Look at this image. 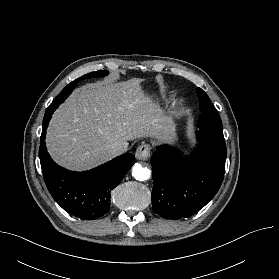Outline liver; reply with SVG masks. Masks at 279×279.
Returning a JSON list of instances; mask_svg holds the SVG:
<instances>
[{
  "label": "liver",
  "instance_id": "6515ba94",
  "mask_svg": "<svg viewBox=\"0 0 279 279\" xmlns=\"http://www.w3.org/2000/svg\"><path fill=\"white\" fill-rule=\"evenodd\" d=\"M143 81H104L76 89L54 112L47 129L53 160L72 171L89 170L113 157L112 146L165 136L167 122L142 90Z\"/></svg>",
  "mask_w": 279,
  "mask_h": 279
}]
</instances>
